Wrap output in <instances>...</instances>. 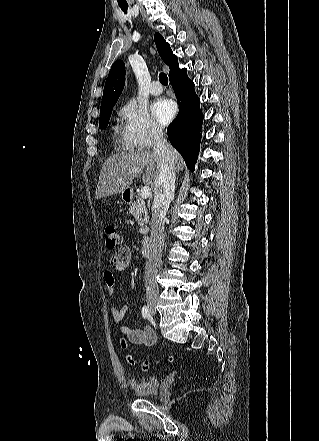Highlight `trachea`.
Returning a JSON list of instances; mask_svg holds the SVG:
<instances>
[{
    "instance_id": "trachea-1",
    "label": "trachea",
    "mask_w": 319,
    "mask_h": 441,
    "mask_svg": "<svg viewBox=\"0 0 319 441\" xmlns=\"http://www.w3.org/2000/svg\"><path fill=\"white\" fill-rule=\"evenodd\" d=\"M120 8L122 9V11L126 14L127 13V9L128 6H120ZM159 81L161 84L163 85H168V78L167 75L165 73H160L159 74Z\"/></svg>"
}]
</instances>
